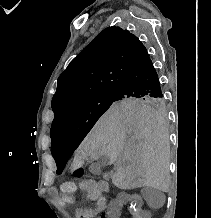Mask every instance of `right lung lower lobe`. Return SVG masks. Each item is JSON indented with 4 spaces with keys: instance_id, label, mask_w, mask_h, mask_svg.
<instances>
[{
    "instance_id": "obj_1",
    "label": "right lung lower lobe",
    "mask_w": 211,
    "mask_h": 218,
    "mask_svg": "<svg viewBox=\"0 0 211 218\" xmlns=\"http://www.w3.org/2000/svg\"><path fill=\"white\" fill-rule=\"evenodd\" d=\"M116 94L125 97L148 96L163 98L159 78L150 57L122 81Z\"/></svg>"
}]
</instances>
